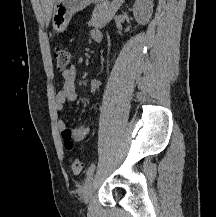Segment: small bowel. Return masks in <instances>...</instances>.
I'll return each instance as SVG.
<instances>
[{
	"mask_svg": "<svg viewBox=\"0 0 216 217\" xmlns=\"http://www.w3.org/2000/svg\"><path fill=\"white\" fill-rule=\"evenodd\" d=\"M90 37L93 41L99 42L102 39L101 32L93 28L90 31ZM75 75H76V68L74 65L69 67L66 70H63L61 73L62 77V86L61 89L55 96V108L57 111H62L65 107V104L68 101H75L78 98V93L76 89V82H75ZM101 85V80L93 79L90 83V92L93 94ZM57 127L59 132L64 135L66 131V124L63 120H59L57 122ZM90 132V125L88 124H81L77 126L71 133V138L76 141L84 140Z\"/></svg>",
	"mask_w": 216,
	"mask_h": 217,
	"instance_id": "1",
	"label": "small bowel"
}]
</instances>
